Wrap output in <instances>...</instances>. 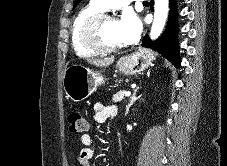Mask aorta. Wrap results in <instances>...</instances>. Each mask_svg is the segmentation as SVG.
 Returning a JSON list of instances; mask_svg holds the SVG:
<instances>
[{
    "instance_id": "aorta-1",
    "label": "aorta",
    "mask_w": 227,
    "mask_h": 166,
    "mask_svg": "<svg viewBox=\"0 0 227 166\" xmlns=\"http://www.w3.org/2000/svg\"><path fill=\"white\" fill-rule=\"evenodd\" d=\"M154 20L150 31V38L157 39L165 26L168 11L169 0H155Z\"/></svg>"
}]
</instances>
